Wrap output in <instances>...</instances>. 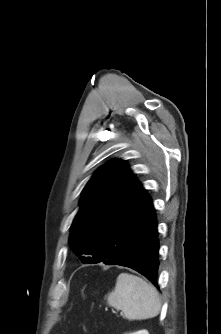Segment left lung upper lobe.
<instances>
[{"label": "left lung upper lobe", "mask_w": 221, "mask_h": 334, "mask_svg": "<svg viewBox=\"0 0 221 334\" xmlns=\"http://www.w3.org/2000/svg\"><path fill=\"white\" fill-rule=\"evenodd\" d=\"M139 186L140 182L122 160L100 167L89 180L69 239L73 252L83 263L94 261L100 238Z\"/></svg>", "instance_id": "5c2ea615"}]
</instances>
